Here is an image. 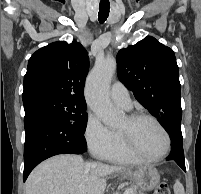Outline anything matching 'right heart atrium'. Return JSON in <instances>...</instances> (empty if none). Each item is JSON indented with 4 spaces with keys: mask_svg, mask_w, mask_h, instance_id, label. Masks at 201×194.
<instances>
[{
    "mask_svg": "<svg viewBox=\"0 0 201 194\" xmlns=\"http://www.w3.org/2000/svg\"><path fill=\"white\" fill-rule=\"evenodd\" d=\"M84 138L91 153L99 158H104L110 152L116 140L115 132L92 112L85 122Z\"/></svg>",
    "mask_w": 201,
    "mask_h": 194,
    "instance_id": "right-heart-atrium-1",
    "label": "right heart atrium"
}]
</instances>
